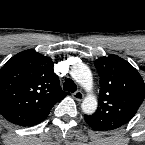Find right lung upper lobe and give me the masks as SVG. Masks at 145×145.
I'll list each match as a JSON object with an SVG mask.
<instances>
[{
	"mask_svg": "<svg viewBox=\"0 0 145 145\" xmlns=\"http://www.w3.org/2000/svg\"><path fill=\"white\" fill-rule=\"evenodd\" d=\"M53 61L33 50L13 56L0 70V113L11 123L33 126L47 118L67 94Z\"/></svg>",
	"mask_w": 145,
	"mask_h": 145,
	"instance_id": "1",
	"label": "right lung upper lobe"
}]
</instances>
